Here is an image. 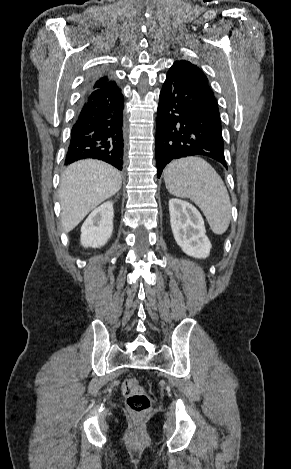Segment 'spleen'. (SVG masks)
Segmentation results:
<instances>
[{"instance_id":"obj_1","label":"spleen","mask_w":291,"mask_h":469,"mask_svg":"<svg viewBox=\"0 0 291 469\" xmlns=\"http://www.w3.org/2000/svg\"><path fill=\"white\" fill-rule=\"evenodd\" d=\"M163 174L170 194L192 200L213 233L226 232L231 220L230 197L223 180L208 162L196 156L175 160Z\"/></svg>"}]
</instances>
